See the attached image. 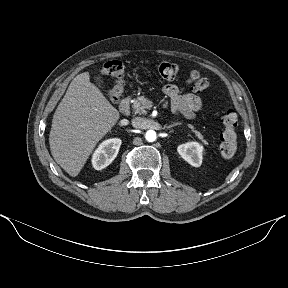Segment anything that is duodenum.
Listing matches in <instances>:
<instances>
[{
    "mask_svg": "<svg viewBox=\"0 0 288 288\" xmlns=\"http://www.w3.org/2000/svg\"><path fill=\"white\" fill-rule=\"evenodd\" d=\"M119 110L123 115H128L130 112V100L129 98H124L120 102Z\"/></svg>",
    "mask_w": 288,
    "mask_h": 288,
    "instance_id": "1",
    "label": "duodenum"
}]
</instances>
